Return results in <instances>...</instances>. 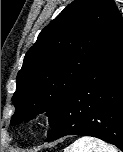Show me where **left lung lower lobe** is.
Instances as JSON below:
<instances>
[{
    "label": "left lung lower lobe",
    "mask_w": 123,
    "mask_h": 152,
    "mask_svg": "<svg viewBox=\"0 0 123 152\" xmlns=\"http://www.w3.org/2000/svg\"><path fill=\"white\" fill-rule=\"evenodd\" d=\"M102 139L123 151V18L60 105L45 141L66 135Z\"/></svg>",
    "instance_id": "left-lung-lower-lobe-1"
}]
</instances>
